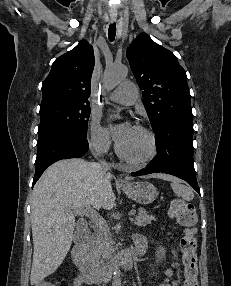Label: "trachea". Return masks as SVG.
Segmentation results:
<instances>
[{"instance_id":"1","label":"trachea","mask_w":231,"mask_h":286,"mask_svg":"<svg viewBox=\"0 0 231 286\" xmlns=\"http://www.w3.org/2000/svg\"><path fill=\"white\" fill-rule=\"evenodd\" d=\"M115 35H116V24L112 23L109 25L108 29V37L111 42L114 41Z\"/></svg>"}]
</instances>
